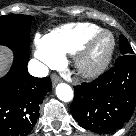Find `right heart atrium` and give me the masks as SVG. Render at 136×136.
<instances>
[{"label":"right heart atrium","instance_id":"1","mask_svg":"<svg viewBox=\"0 0 136 136\" xmlns=\"http://www.w3.org/2000/svg\"><path fill=\"white\" fill-rule=\"evenodd\" d=\"M35 44V55L44 65L53 67L60 63L61 56L46 46L43 37L36 36Z\"/></svg>","mask_w":136,"mask_h":136}]
</instances>
